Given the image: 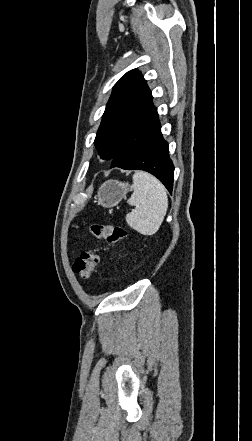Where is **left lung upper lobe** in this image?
<instances>
[{
	"mask_svg": "<svg viewBox=\"0 0 252 441\" xmlns=\"http://www.w3.org/2000/svg\"><path fill=\"white\" fill-rule=\"evenodd\" d=\"M150 96L151 91L137 69L127 72L115 84L94 141L102 158L113 159Z\"/></svg>",
	"mask_w": 252,
	"mask_h": 441,
	"instance_id": "1",
	"label": "left lung upper lobe"
}]
</instances>
